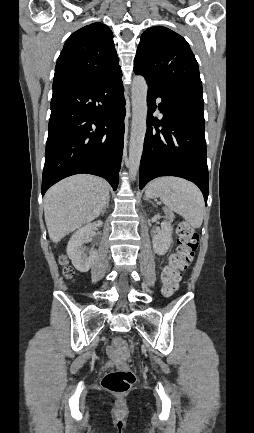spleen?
Listing matches in <instances>:
<instances>
[{"label": "spleen", "mask_w": 254, "mask_h": 433, "mask_svg": "<svg viewBox=\"0 0 254 433\" xmlns=\"http://www.w3.org/2000/svg\"><path fill=\"white\" fill-rule=\"evenodd\" d=\"M145 193L147 197L160 198L193 228L202 225L204 199L195 184L178 177H160L148 184Z\"/></svg>", "instance_id": "obj_1"}]
</instances>
